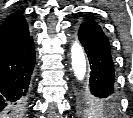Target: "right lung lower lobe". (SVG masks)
<instances>
[{
    "mask_svg": "<svg viewBox=\"0 0 133 118\" xmlns=\"http://www.w3.org/2000/svg\"><path fill=\"white\" fill-rule=\"evenodd\" d=\"M36 57L33 38L0 54V118H20Z\"/></svg>",
    "mask_w": 133,
    "mask_h": 118,
    "instance_id": "98d812e1",
    "label": "right lung lower lobe"
}]
</instances>
